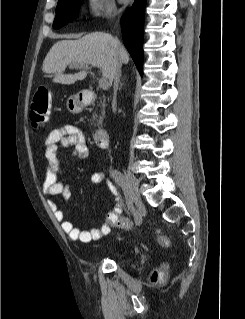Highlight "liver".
I'll return each mask as SVG.
<instances>
[{"label":"liver","mask_w":245,"mask_h":319,"mask_svg":"<svg viewBox=\"0 0 245 319\" xmlns=\"http://www.w3.org/2000/svg\"><path fill=\"white\" fill-rule=\"evenodd\" d=\"M118 61L125 64L129 62L127 50L121 45L117 48L111 35L96 32L78 40H61L55 43L43 61L42 71L54 75L55 83L71 85L83 80L87 73L82 71L64 74L68 65H92L98 67L102 76L111 83Z\"/></svg>","instance_id":"obj_1"}]
</instances>
